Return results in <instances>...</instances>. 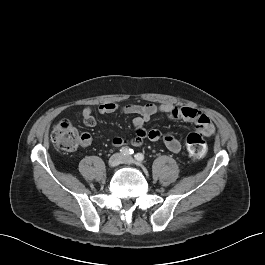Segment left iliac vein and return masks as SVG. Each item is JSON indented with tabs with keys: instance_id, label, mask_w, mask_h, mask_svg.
I'll return each mask as SVG.
<instances>
[{
	"instance_id": "obj_1",
	"label": "left iliac vein",
	"mask_w": 265,
	"mask_h": 265,
	"mask_svg": "<svg viewBox=\"0 0 265 265\" xmlns=\"http://www.w3.org/2000/svg\"><path fill=\"white\" fill-rule=\"evenodd\" d=\"M122 163L132 165L135 163V161L131 156H124L122 158Z\"/></svg>"
}]
</instances>
